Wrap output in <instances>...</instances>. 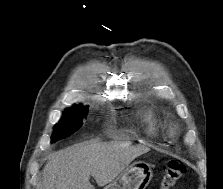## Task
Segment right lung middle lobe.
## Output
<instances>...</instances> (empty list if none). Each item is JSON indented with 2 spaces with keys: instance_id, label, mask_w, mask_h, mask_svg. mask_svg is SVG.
<instances>
[{
  "instance_id": "1",
  "label": "right lung middle lobe",
  "mask_w": 223,
  "mask_h": 189,
  "mask_svg": "<svg viewBox=\"0 0 223 189\" xmlns=\"http://www.w3.org/2000/svg\"><path fill=\"white\" fill-rule=\"evenodd\" d=\"M88 106L74 105L63 113V117L56 124L52 134L51 142L54 143L60 139L73 134L82 126L83 118L86 117Z\"/></svg>"
}]
</instances>
